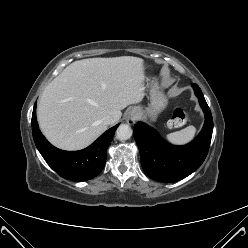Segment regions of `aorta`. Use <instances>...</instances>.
I'll return each instance as SVG.
<instances>
[{"instance_id":"aorta-1","label":"aorta","mask_w":248,"mask_h":248,"mask_svg":"<svg viewBox=\"0 0 248 248\" xmlns=\"http://www.w3.org/2000/svg\"><path fill=\"white\" fill-rule=\"evenodd\" d=\"M132 136V129L127 124H121L116 130L118 140H128Z\"/></svg>"}]
</instances>
